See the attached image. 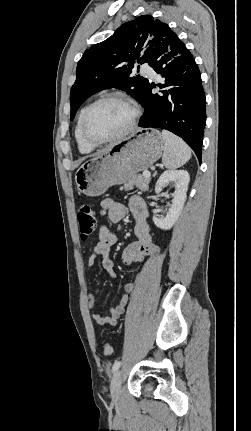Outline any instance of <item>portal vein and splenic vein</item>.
<instances>
[{
	"label": "portal vein and splenic vein",
	"instance_id": "portal-vein-and-splenic-vein-1",
	"mask_svg": "<svg viewBox=\"0 0 251 431\" xmlns=\"http://www.w3.org/2000/svg\"><path fill=\"white\" fill-rule=\"evenodd\" d=\"M143 176L146 178H150L151 174L150 172H143Z\"/></svg>",
	"mask_w": 251,
	"mask_h": 431
}]
</instances>
